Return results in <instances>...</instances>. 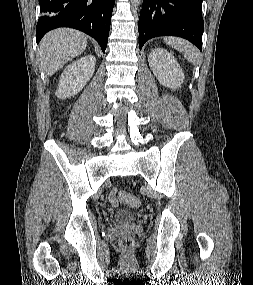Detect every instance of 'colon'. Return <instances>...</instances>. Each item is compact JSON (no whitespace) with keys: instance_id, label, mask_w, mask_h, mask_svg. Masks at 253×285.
I'll return each instance as SVG.
<instances>
[{"instance_id":"obj_1","label":"colon","mask_w":253,"mask_h":285,"mask_svg":"<svg viewBox=\"0 0 253 285\" xmlns=\"http://www.w3.org/2000/svg\"><path fill=\"white\" fill-rule=\"evenodd\" d=\"M118 195L120 201L131 208H138L141 204V201L138 197L130 195L125 191H120ZM132 245H133V238L131 236L126 235L122 238L121 246L123 248H130Z\"/></svg>"}]
</instances>
